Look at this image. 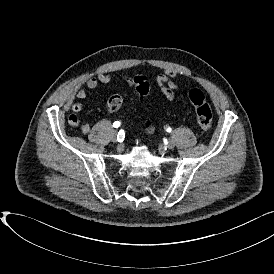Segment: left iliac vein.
Here are the masks:
<instances>
[{"label":"left iliac vein","instance_id":"1","mask_svg":"<svg viewBox=\"0 0 274 274\" xmlns=\"http://www.w3.org/2000/svg\"><path fill=\"white\" fill-rule=\"evenodd\" d=\"M174 146H175V142L172 139H169L168 142L166 143V148L173 149Z\"/></svg>","mask_w":274,"mask_h":274}]
</instances>
